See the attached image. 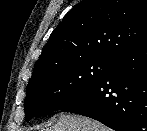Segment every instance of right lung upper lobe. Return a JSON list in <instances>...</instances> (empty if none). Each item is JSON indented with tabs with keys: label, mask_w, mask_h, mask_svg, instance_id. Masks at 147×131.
Instances as JSON below:
<instances>
[{
	"label": "right lung upper lobe",
	"mask_w": 147,
	"mask_h": 131,
	"mask_svg": "<svg viewBox=\"0 0 147 131\" xmlns=\"http://www.w3.org/2000/svg\"><path fill=\"white\" fill-rule=\"evenodd\" d=\"M147 40V0H83L52 32L33 75L89 59L115 60Z\"/></svg>",
	"instance_id": "cb5924a9"
}]
</instances>
